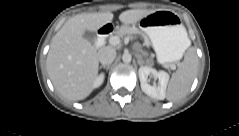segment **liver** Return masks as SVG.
I'll return each instance as SVG.
<instances>
[{
    "label": "liver",
    "mask_w": 239,
    "mask_h": 136,
    "mask_svg": "<svg viewBox=\"0 0 239 136\" xmlns=\"http://www.w3.org/2000/svg\"><path fill=\"white\" fill-rule=\"evenodd\" d=\"M152 12L127 10L119 15V20L125 25L135 24ZM113 18L110 12L78 14L66 21L53 37L46 60L47 71L54 88L64 98L82 100L94 89L99 67L98 52L83 34L87 30L97 31Z\"/></svg>",
    "instance_id": "liver-1"
}]
</instances>
